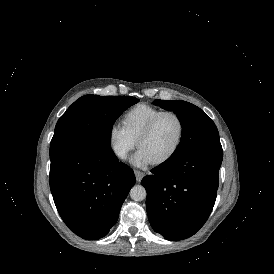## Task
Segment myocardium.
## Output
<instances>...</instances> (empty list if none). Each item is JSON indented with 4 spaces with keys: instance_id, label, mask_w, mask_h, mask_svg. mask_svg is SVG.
Returning a JSON list of instances; mask_svg holds the SVG:
<instances>
[{
    "instance_id": "f54148a6",
    "label": "myocardium",
    "mask_w": 274,
    "mask_h": 274,
    "mask_svg": "<svg viewBox=\"0 0 274 274\" xmlns=\"http://www.w3.org/2000/svg\"><path fill=\"white\" fill-rule=\"evenodd\" d=\"M166 115H172L177 119L178 124H179L178 134H177L175 143H174L171 151L162 159L152 162L151 165H153V166L164 165V164L168 163L176 155V153L180 147V144L182 142L183 135H184V129H185L184 121H183L182 117L174 110L161 111L153 119H151L149 121V123L141 130V132L137 135V137L135 139V144H136V147L138 148L140 141L142 139H144L145 137H147L153 131V129L155 128V126L157 125L159 120L163 116H166Z\"/></svg>"
}]
</instances>
